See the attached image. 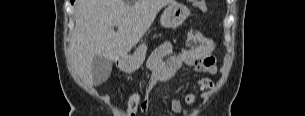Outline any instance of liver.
I'll use <instances>...</instances> for the list:
<instances>
[{"label": "liver", "instance_id": "1", "mask_svg": "<svg viewBox=\"0 0 305 116\" xmlns=\"http://www.w3.org/2000/svg\"><path fill=\"white\" fill-rule=\"evenodd\" d=\"M174 0H77L70 41L71 64L87 86L94 83L92 61L119 60L139 42L158 12ZM118 25L115 32L113 25Z\"/></svg>", "mask_w": 305, "mask_h": 116}]
</instances>
